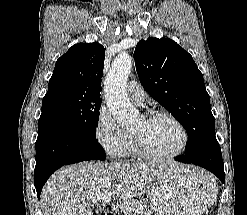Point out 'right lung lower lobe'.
<instances>
[{
	"instance_id": "98d812e1",
	"label": "right lung lower lobe",
	"mask_w": 247,
	"mask_h": 215,
	"mask_svg": "<svg viewBox=\"0 0 247 215\" xmlns=\"http://www.w3.org/2000/svg\"><path fill=\"white\" fill-rule=\"evenodd\" d=\"M38 132L34 170V185L38 198L47 179L61 166L106 158L95 137H90L80 130L51 125L38 129Z\"/></svg>"
}]
</instances>
